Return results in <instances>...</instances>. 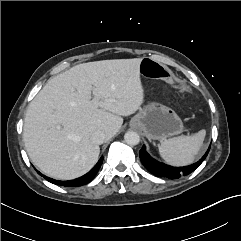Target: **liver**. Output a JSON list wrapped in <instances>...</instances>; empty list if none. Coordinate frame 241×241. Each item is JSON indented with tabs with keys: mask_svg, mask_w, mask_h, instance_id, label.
<instances>
[{
	"mask_svg": "<svg viewBox=\"0 0 241 241\" xmlns=\"http://www.w3.org/2000/svg\"><path fill=\"white\" fill-rule=\"evenodd\" d=\"M142 59H114L76 65L51 78L29 104L23 127L32 163L52 178L70 180L87 173L100 148L95 131L117 134L122 116L144 101Z\"/></svg>",
	"mask_w": 241,
	"mask_h": 241,
	"instance_id": "6515ba94",
	"label": "liver"
}]
</instances>
